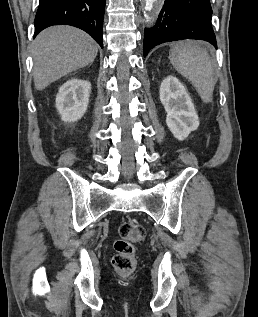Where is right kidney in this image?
Masks as SVG:
<instances>
[{
  "mask_svg": "<svg viewBox=\"0 0 258 317\" xmlns=\"http://www.w3.org/2000/svg\"><path fill=\"white\" fill-rule=\"evenodd\" d=\"M91 84L88 80L71 78L64 82L56 94V108L66 122L78 120L83 116L89 104Z\"/></svg>",
  "mask_w": 258,
  "mask_h": 317,
  "instance_id": "obj_1",
  "label": "right kidney"
}]
</instances>
